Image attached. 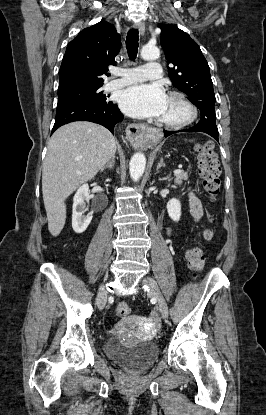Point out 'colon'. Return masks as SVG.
Returning <instances> with one entry per match:
<instances>
[{
	"instance_id": "1",
	"label": "colon",
	"mask_w": 266,
	"mask_h": 415,
	"mask_svg": "<svg viewBox=\"0 0 266 415\" xmlns=\"http://www.w3.org/2000/svg\"><path fill=\"white\" fill-rule=\"evenodd\" d=\"M198 158L199 175L202 180V186L208 197L214 201L221 189L220 181V166L217 157L213 151L212 145L206 143L196 147ZM212 218H209V222ZM212 230L206 228L203 231V238L210 239L212 237ZM186 259L190 269L195 275H198L204 268L205 257L202 249L199 246H193L186 252ZM116 313L118 317L125 318L131 313V309L126 303H120L117 307Z\"/></svg>"
}]
</instances>
